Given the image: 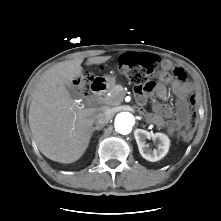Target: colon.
<instances>
[{
	"mask_svg": "<svg viewBox=\"0 0 221 221\" xmlns=\"http://www.w3.org/2000/svg\"><path fill=\"white\" fill-rule=\"evenodd\" d=\"M158 59L152 54H140L129 61H121L118 64V70L131 82L139 87L150 91L153 86V78L157 73ZM193 102V98H191ZM197 120L195 111H191L189 120L182 131V137L189 141L194 133Z\"/></svg>",
	"mask_w": 221,
	"mask_h": 221,
	"instance_id": "5ec220e1",
	"label": "colon"
}]
</instances>
